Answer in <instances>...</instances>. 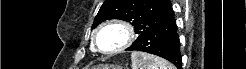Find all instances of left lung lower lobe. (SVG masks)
<instances>
[{
    "label": "left lung lower lobe",
    "instance_id": "1",
    "mask_svg": "<svg viewBox=\"0 0 246 69\" xmlns=\"http://www.w3.org/2000/svg\"><path fill=\"white\" fill-rule=\"evenodd\" d=\"M180 41L174 15L139 35L126 50L144 51L161 56L181 68Z\"/></svg>",
    "mask_w": 246,
    "mask_h": 69
}]
</instances>
